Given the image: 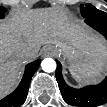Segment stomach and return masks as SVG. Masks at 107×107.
<instances>
[{
  "mask_svg": "<svg viewBox=\"0 0 107 107\" xmlns=\"http://www.w3.org/2000/svg\"><path fill=\"white\" fill-rule=\"evenodd\" d=\"M71 41L72 37H70L68 41L62 42L60 45L53 44V46H49V48L57 56H62L66 59L69 64L77 65L84 62L77 58L81 50V43L73 45L71 44Z\"/></svg>",
  "mask_w": 107,
  "mask_h": 107,
  "instance_id": "0dacf381",
  "label": "stomach"
}]
</instances>
